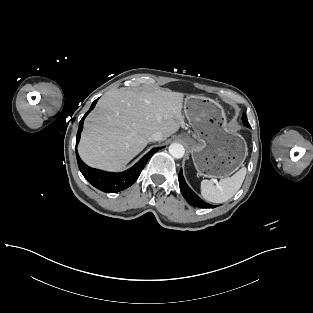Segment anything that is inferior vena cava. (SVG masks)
Instances as JSON below:
<instances>
[{"label":"inferior vena cava","instance_id":"obj_1","mask_svg":"<svg viewBox=\"0 0 313 313\" xmlns=\"http://www.w3.org/2000/svg\"><path fill=\"white\" fill-rule=\"evenodd\" d=\"M163 139V135L161 132L157 131L150 135L149 141H161Z\"/></svg>","mask_w":313,"mask_h":313}]
</instances>
